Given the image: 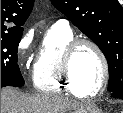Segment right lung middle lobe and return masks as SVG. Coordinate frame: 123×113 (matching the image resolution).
<instances>
[{"label": "right lung middle lobe", "instance_id": "right-lung-middle-lobe-1", "mask_svg": "<svg viewBox=\"0 0 123 113\" xmlns=\"http://www.w3.org/2000/svg\"><path fill=\"white\" fill-rule=\"evenodd\" d=\"M22 34L1 36V87L24 85V79L17 64V47Z\"/></svg>", "mask_w": 123, "mask_h": 113}]
</instances>
